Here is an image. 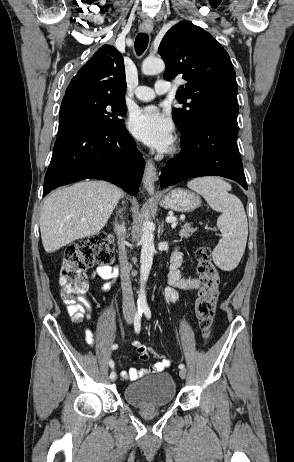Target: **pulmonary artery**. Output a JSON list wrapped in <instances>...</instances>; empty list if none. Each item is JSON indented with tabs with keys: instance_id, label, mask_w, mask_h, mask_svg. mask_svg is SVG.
I'll return each mask as SVG.
<instances>
[{
	"instance_id": "pulmonary-artery-1",
	"label": "pulmonary artery",
	"mask_w": 294,
	"mask_h": 462,
	"mask_svg": "<svg viewBox=\"0 0 294 462\" xmlns=\"http://www.w3.org/2000/svg\"><path fill=\"white\" fill-rule=\"evenodd\" d=\"M170 91V84L165 80H157L153 88L147 86H138L135 89V97L141 101H150L156 95L166 94Z\"/></svg>"
}]
</instances>
